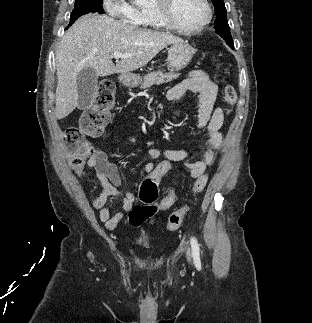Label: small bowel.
Listing matches in <instances>:
<instances>
[{
    "label": "small bowel",
    "instance_id": "obj_1",
    "mask_svg": "<svg viewBox=\"0 0 312 323\" xmlns=\"http://www.w3.org/2000/svg\"><path fill=\"white\" fill-rule=\"evenodd\" d=\"M217 90V85L200 69L192 70L187 78L172 86L167 93V99L171 102L180 100L186 91L199 94L200 106L197 128L205 131V143L195 152L187 149L161 150L151 147L146 152L147 157L155 160V158H160L163 155L165 158H170L172 163L185 161L194 153H198L201 158L188 164L187 168L192 179L197 180L201 177L214 162L223 145V135L220 129L224 122V112L222 108L215 106ZM170 114L173 117L179 116L176 109H171ZM132 141H136V139L133 138ZM87 164L88 167L94 170L102 185L100 194L92 201V206L99 211V219L108 230L115 229L124 220H127L132 227H139L144 223L152 224L155 221L154 215L140 216V208L134 207L136 201L135 192L120 189L122 184L121 175L117 166L108 161L105 152L97 150L89 158ZM150 167H156L155 163H146L144 170L149 176H152ZM110 197H117L121 200V209L114 215H112L111 206L107 204ZM158 208L161 209V206H158Z\"/></svg>",
    "mask_w": 312,
    "mask_h": 323
}]
</instances>
